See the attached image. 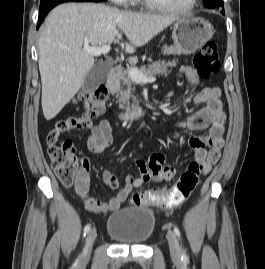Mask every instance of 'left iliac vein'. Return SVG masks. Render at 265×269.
<instances>
[{"label": "left iliac vein", "instance_id": "1", "mask_svg": "<svg viewBox=\"0 0 265 269\" xmlns=\"http://www.w3.org/2000/svg\"><path fill=\"white\" fill-rule=\"evenodd\" d=\"M167 239L172 259L179 261L182 254L176 235L172 231H168Z\"/></svg>", "mask_w": 265, "mask_h": 269}]
</instances>
